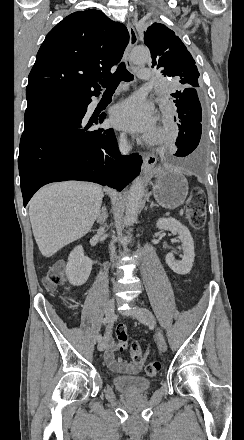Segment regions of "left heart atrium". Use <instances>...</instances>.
<instances>
[{"instance_id":"left-heart-atrium-1","label":"left heart atrium","mask_w":244,"mask_h":440,"mask_svg":"<svg viewBox=\"0 0 244 440\" xmlns=\"http://www.w3.org/2000/svg\"><path fill=\"white\" fill-rule=\"evenodd\" d=\"M111 121L117 128L128 132L158 133L157 114L153 104L140 96H133L114 106Z\"/></svg>"}]
</instances>
